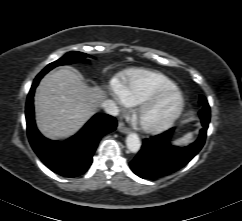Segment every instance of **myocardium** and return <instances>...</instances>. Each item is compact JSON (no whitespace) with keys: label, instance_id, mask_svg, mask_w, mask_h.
Returning a JSON list of instances; mask_svg holds the SVG:
<instances>
[{"label":"myocardium","instance_id":"myocardium-1","mask_svg":"<svg viewBox=\"0 0 242 221\" xmlns=\"http://www.w3.org/2000/svg\"><path fill=\"white\" fill-rule=\"evenodd\" d=\"M173 97V105L159 119L151 121L147 119L150 112L158 108L167 98ZM184 95L182 90L173 86L164 89L142 102L135 113L137 124L146 132H159L171 125L181 113L184 107Z\"/></svg>","mask_w":242,"mask_h":221}]
</instances>
